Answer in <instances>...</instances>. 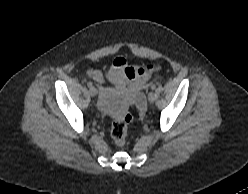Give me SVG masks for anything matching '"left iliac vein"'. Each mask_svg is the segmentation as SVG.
<instances>
[{"label":"left iliac vein","mask_w":248,"mask_h":194,"mask_svg":"<svg viewBox=\"0 0 248 194\" xmlns=\"http://www.w3.org/2000/svg\"><path fill=\"white\" fill-rule=\"evenodd\" d=\"M156 100V95L153 92H150L148 95V101L149 103H154V101Z\"/></svg>","instance_id":"left-iliac-vein-1"}]
</instances>
